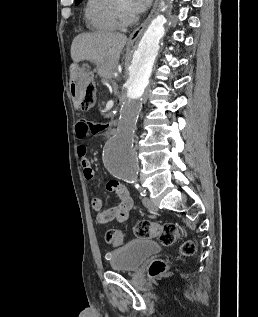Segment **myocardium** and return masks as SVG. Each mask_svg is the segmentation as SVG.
Masks as SVG:
<instances>
[{
	"instance_id": "obj_1",
	"label": "myocardium",
	"mask_w": 258,
	"mask_h": 317,
	"mask_svg": "<svg viewBox=\"0 0 258 317\" xmlns=\"http://www.w3.org/2000/svg\"><path fill=\"white\" fill-rule=\"evenodd\" d=\"M114 19L119 28L133 25L138 20V12L127 1H120L114 11Z\"/></svg>"
}]
</instances>
